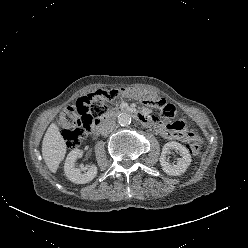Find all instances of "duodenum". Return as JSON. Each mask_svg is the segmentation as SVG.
<instances>
[{"instance_id":"1","label":"duodenum","mask_w":248,"mask_h":248,"mask_svg":"<svg viewBox=\"0 0 248 248\" xmlns=\"http://www.w3.org/2000/svg\"><path fill=\"white\" fill-rule=\"evenodd\" d=\"M120 114H129L130 116L138 120L140 123L147 125V126L154 125V121L149 116L139 111L130 109L128 107H115L111 111L107 112L100 120L96 121L93 127V134L94 135L98 134V132L100 131V129L102 128L103 124L106 121Z\"/></svg>"}]
</instances>
